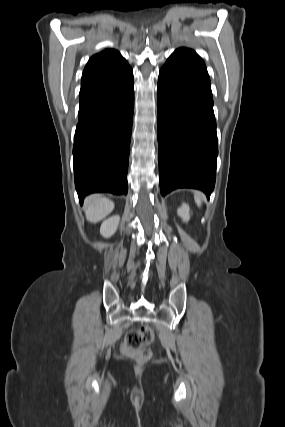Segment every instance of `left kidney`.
Here are the masks:
<instances>
[{
	"label": "left kidney",
	"instance_id": "1",
	"mask_svg": "<svg viewBox=\"0 0 285 427\" xmlns=\"http://www.w3.org/2000/svg\"><path fill=\"white\" fill-rule=\"evenodd\" d=\"M178 215L187 222L190 219V208L186 203H183L178 209Z\"/></svg>",
	"mask_w": 285,
	"mask_h": 427
}]
</instances>
